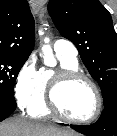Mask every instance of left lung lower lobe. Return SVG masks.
<instances>
[{
  "label": "left lung lower lobe",
  "mask_w": 117,
  "mask_h": 136,
  "mask_svg": "<svg viewBox=\"0 0 117 136\" xmlns=\"http://www.w3.org/2000/svg\"><path fill=\"white\" fill-rule=\"evenodd\" d=\"M70 127L87 136H117V97L105 105L103 113L94 124Z\"/></svg>",
  "instance_id": "obj_1"
}]
</instances>
